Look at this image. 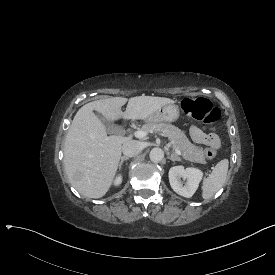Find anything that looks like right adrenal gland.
<instances>
[{"label":"right adrenal gland","instance_id":"2a0ac1e0","mask_svg":"<svg viewBox=\"0 0 275 275\" xmlns=\"http://www.w3.org/2000/svg\"><path fill=\"white\" fill-rule=\"evenodd\" d=\"M127 159H128V157H126V156H121V157H120V161H119V167H121L123 160H127Z\"/></svg>","mask_w":275,"mask_h":275}]
</instances>
